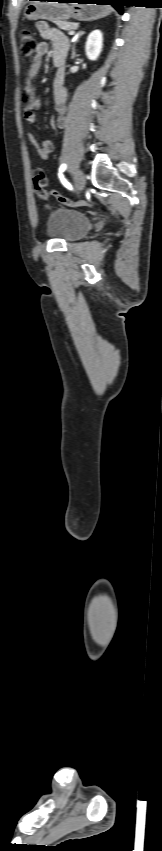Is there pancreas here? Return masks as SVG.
<instances>
[{
	"label": "pancreas",
	"instance_id": "pancreas-1",
	"mask_svg": "<svg viewBox=\"0 0 162 851\" xmlns=\"http://www.w3.org/2000/svg\"><path fill=\"white\" fill-rule=\"evenodd\" d=\"M55 24L62 30L70 32L78 28L79 24L74 22L56 21Z\"/></svg>",
	"mask_w": 162,
	"mask_h": 851
}]
</instances>
